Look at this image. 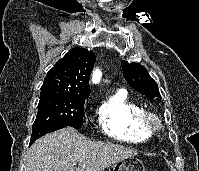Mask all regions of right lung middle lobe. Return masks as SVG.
Returning <instances> with one entry per match:
<instances>
[{"label":"right lung middle lobe","instance_id":"dd1d6c3e","mask_svg":"<svg viewBox=\"0 0 199 171\" xmlns=\"http://www.w3.org/2000/svg\"><path fill=\"white\" fill-rule=\"evenodd\" d=\"M85 97L41 90L33 130L46 125H65L79 130L83 126Z\"/></svg>","mask_w":199,"mask_h":171}]
</instances>
